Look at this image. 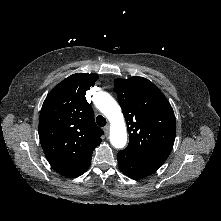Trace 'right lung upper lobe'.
<instances>
[{
  "label": "right lung upper lobe",
  "mask_w": 221,
  "mask_h": 221,
  "mask_svg": "<svg viewBox=\"0 0 221 221\" xmlns=\"http://www.w3.org/2000/svg\"><path fill=\"white\" fill-rule=\"evenodd\" d=\"M97 74L69 76L46 97L39 118V138L52 168L74 178L91 163L92 153L102 141L103 130L95 124L85 94Z\"/></svg>",
  "instance_id": "cb5924a9"
}]
</instances>
